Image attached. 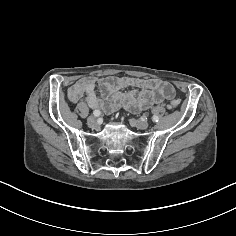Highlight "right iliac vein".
<instances>
[{"label": "right iliac vein", "instance_id": "right-iliac-vein-1", "mask_svg": "<svg viewBox=\"0 0 236 236\" xmlns=\"http://www.w3.org/2000/svg\"><path fill=\"white\" fill-rule=\"evenodd\" d=\"M87 123L90 126H94L96 124V118L94 116H89L87 118Z\"/></svg>", "mask_w": 236, "mask_h": 236}]
</instances>
